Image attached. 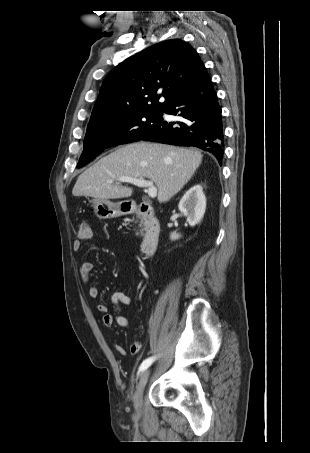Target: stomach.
Instances as JSON below:
<instances>
[{
	"mask_svg": "<svg viewBox=\"0 0 310 453\" xmlns=\"http://www.w3.org/2000/svg\"><path fill=\"white\" fill-rule=\"evenodd\" d=\"M94 213L99 219L117 218L125 214L123 203H114L106 199L91 200Z\"/></svg>",
	"mask_w": 310,
	"mask_h": 453,
	"instance_id": "obj_1",
	"label": "stomach"
}]
</instances>
